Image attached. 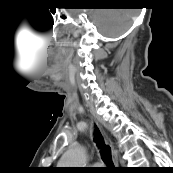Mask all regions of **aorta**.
<instances>
[{
	"mask_svg": "<svg viewBox=\"0 0 173 173\" xmlns=\"http://www.w3.org/2000/svg\"><path fill=\"white\" fill-rule=\"evenodd\" d=\"M86 159L85 151L81 147L69 150L62 158L61 165L65 167H81Z\"/></svg>",
	"mask_w": 173,
	"mask_h": 173,
	"instance_id": "762f6f07",
	"label": "aorta"
}]
</instances>
